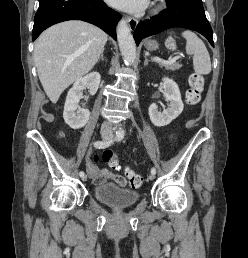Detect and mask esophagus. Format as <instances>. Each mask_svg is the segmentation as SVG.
<instances>
[{
  "label": "esophagus",
  "instance_id": "obj_1",
  "mask_svg": "<svg viewBox=\"0 0 248 258\" xmlns=\"http://www.w3.org/2000/svg\"><path fill=\"white\" fill-rule=\"evenodd\" d=\"M126 20L128 22L129 28L131 30H135L138 24V20L132 18V17H126Z\"/></svg>",
  "mask_w": 248,
  "mask_h": 258
}]
</instances>
